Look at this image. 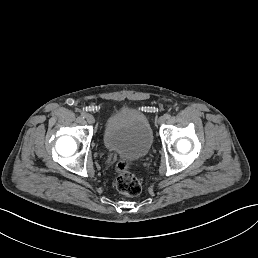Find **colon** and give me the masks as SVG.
Returning <instances> with one entry per match:
<instances>
[{
	"instance_id": "5ec220e1",
	"label": "colon",
	"mask_w": 258,
	"mask_h": 258,
	"mask_svg": "<svg viewBox=\"0 0 258 258\" xmlns=\"http://www.w3.org/2000/svg\"><path fill=\"white\" fill-rule=\"evenodd\" d=\"M115 186L126 196H137L141 191V184L132 171L131 163L119 160L115 166Z\"/></svg>"
}]
</instances>
